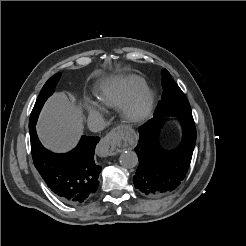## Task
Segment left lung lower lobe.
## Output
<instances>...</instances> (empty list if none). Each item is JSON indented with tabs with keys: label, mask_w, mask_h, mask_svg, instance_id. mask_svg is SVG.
Masks as SVG:
<instances>
[{
	"label": "left lung lower lobe",
	"mask_w": 246,
	"mask_h": 246,
	"mask_svg": "<svg viewBox=\"0 0 246 246\" xmlns=\"http://www.w3.org/2000/svg\"><path fill=\"white\" fill-rule=\"evenodd\" d=\"M183 136L177 148H161L158 136L163 119L155 110L154 117L139 128L135 148L139 166L133 177L135 188L150 197L165 195L176 189L189 168L196 143V128L192 115L179 116Z\"/></svg>",
	"instance_id": "left-lung-lower-lobe-1"
}]
</instances>
